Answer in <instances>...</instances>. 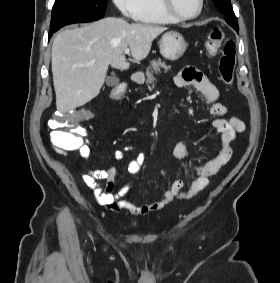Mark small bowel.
Returning <instances> with one entry per match:
<instances>
[{"instance_id":"1","label":"small bowel","mask_w":280,"mask_h":283,"mask_svg":"<svg viewBox=\"0 0 280 283\" xmlns=\"http://www.w3.org/2000/svg\"><path fill=\"white\" fill-rule=\"evenodd\" d=\"M175 82L178 86H193L199 91L203 95L205 104L209 107L212 116L222 117L227 114V106L217 101L218 90L216 86L200 70L195 68L185 69L178 74L175 78ZM212 127L221 135V150L213 159L195 167L197 177L187 189H185L183 180L177 179L171 181L168 179L167 175L162 172V176L168 181L167 189L163 195L156 201L136 204L125 197L129 185L124 186L117 193L113 192L115 189L116 176V168L114 167L94 171L80 167L83 182L87 187L93 190L97 201L102 206L115 212L126 210L136 216H143L158 211L169 205L175 199L190 198L203 190L208 185L209 177L216 174L219 169L229 161L232 155V143L236 135L243 133L246 129L245 123L237 117H230L229 119L216 118L212 122ZM89 143V138H81V145L76 150L82 158H88L91 154ZM132 150V146H126L122 150L115 151L114 157L121 159L125 152ZM173 153L178 160H183L189 156L187 147L183 142H177L175 144ZM145 162L146 155L144 153H138L128 163L127 171L131 175H137ZM100 180L105 181V187L101 186L99 183Z\"/></svg>"}]
</instances>
